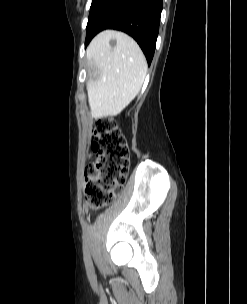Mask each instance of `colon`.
I'll return each mask as SVG.
<instances>
[{"instance_id": "5ec220e1", "label": "colon", "mask_w": 247, "mask_h": 304, "mask_svg": "<svg viewBox=\"0 0 247 304\" xmlns=\"http://www.w3.org/2000/svg\"><path fill=\"white\" fill-rule=\"evenodd\" d=\"M92 149L96 160L86 169L84 192L90 207L97 209L111 204L121 192L129 172L130 152L110 116L94 122Z\"/></svg>"}]
</instances>
